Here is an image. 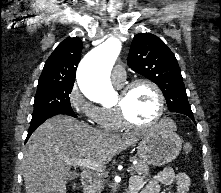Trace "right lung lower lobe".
Wrapping results in <instances>:
<instances>
[{
	"label": "right lung lower lobe",
	"mask_w": 221,
	"mask_h": 193,
	"mask_svg": "<svg viewBox=\"0 0 221 193\" xmlns=\"http://www.w3.org/2000/svg\"><path fill=\"white\" fill-rule=\"evenodd\" d=\"M58 114H67V115H70L72 117H77L76 114L74 112H70V111H60V112H51V113H47V114H44L38 118H35V119H32L31 120V124H30V128L28 130V135H27V139L26 141L28 140V138L30 137V135L36 130V128L38 126H40L46 119L52 117V116H55V115H58Z\"/></svg>",
	"instance_id": "right-lung-lower-lobe-1"
}]
</instances>
